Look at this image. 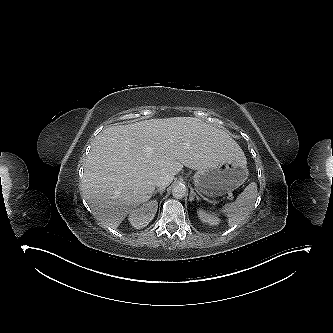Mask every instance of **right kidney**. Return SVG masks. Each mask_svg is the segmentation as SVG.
<instances>
[{
  "label": "right kidney",
  "instance_id": "right-kidney-1",
  "mask_svg": "<svg viewBox=\"0 0 333 333\" xmlns=\"http://www.w3.org/2000/svg\"><path fill=\"white\" fill-rule=\"evenodd\" d=\"M158 208V202L152 200L143 204L140 208H136L129 213L128 220L136 229L144 228L154 218Z\"/></svg>",
  "mask_w": 333,
  "mask_h": 333
}]
</instances>
